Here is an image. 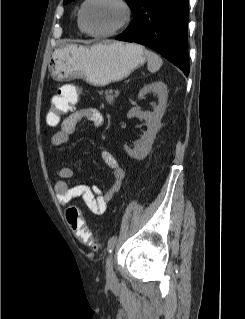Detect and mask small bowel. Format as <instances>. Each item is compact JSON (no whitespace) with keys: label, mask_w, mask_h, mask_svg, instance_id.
<instances>
[{"label":"small bowel","mask_w":245,"mask_h":319,"mask_svg":"<svg viewBox=\"0 0 245 319\" xmlns=\"http://www.w3.org/2000/svg\"><path fill=\"white\" fill-rule=\"evenodd\" d=\"M74 90L75 88L71 84H65L59 89V91L71 93ZM82 119L90 121L97 128L101 127L104 122V117L100 110L93 106H86L74 111L61 122L60 129L52 137V145H67L76 130L78 122ZM102 159L112 171L110 185L106 191H103L102 188L97 185H71L70 180L74 175L72 168L64 166L59 169L58 176L60 180L55 185V192L58 203L61 206H65L76 197H81L84 206L93 214L101 215L106 211L109 203L122 189L125 172L110 151L103 150Z\"/></svg>","instance_id":"obj_1"}]
</instances>
